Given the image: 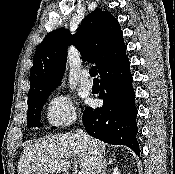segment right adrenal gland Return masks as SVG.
Returning a JSON list of instances; mask_svg holds the SVG:
<instances>
[{
	"instance_id": "1",
	"label": "right adrenal gland",
	"mask_w": 175,
	"mask_h": 174,
	"mask_svg": "<svg viewBox=\"0 0 175 174\" xmlns=\"http://www.w3.org/2000/svg\"><path fill=\"white\" fill-rule=\"evenodd\" d=\"M115 160L114 159H109V161L107 159H103V165H102V174H106V169H107V166L110 165L113 161Z\"/></svg>"
}]
</instances>
